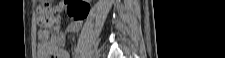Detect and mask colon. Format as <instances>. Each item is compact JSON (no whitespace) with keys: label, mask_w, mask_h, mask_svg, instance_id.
I'll use <instances>...</instances> for the list:
<instances>
[{"label":"colon","mask_w":225,"mask_h":58,"mask_svg":"<svg viewBox=\"0 0 225 58\" xmlns=\"http://www.w3.org/2000/svg\"><path fill=\"white\" fill-rule=\"evenodd\" d=\"M67 14L77 21L83 20L88 12L89 5L82 0H67ZM55 20L54 10L50 6L49 1H41L38 7V24L45 27H50Z\"/></svg>","instance_id":"5ec220e1"}]
</instances>
